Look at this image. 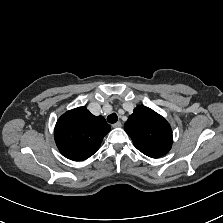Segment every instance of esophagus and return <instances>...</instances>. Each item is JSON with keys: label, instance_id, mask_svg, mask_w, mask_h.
Wrapping results in <instances>:
<instances>
[{"label": "esophagus", "instance_id": "obj_1", "mask_svg": "<svg viewBox=\"0 0 223 223\" xmlns=\"http://www.w3.org/2000/svg\"><path fill=\"white\" fill-rule=\"evenodd\" d=\"M121 126H122L121 122H116V123L112 124L113 128H117V127H121Z\"/></svg>", "mask_w": 223, "mask_h": 223}]
</instances>
